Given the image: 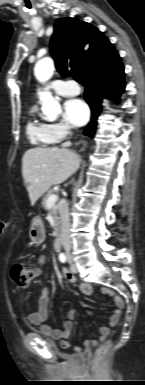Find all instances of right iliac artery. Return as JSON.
Here are the masks:
<instances>
[{"mask_svg": "<svg viewBox=\"0 0 145 385\" xmlns=\"http://www.w3.org/2000/svg\"><path fill=\"white\" fill-rule=\"evenodd\" d=\"M59 260L62 262V263H65L67 258H66V255L64 253H61L59 255Z\"/></svg>", "mask_w": 145, "mask_h": 385, "instance_id": "right-iliac-artery-1", "label": "right iliac artery"}]
</instances>
